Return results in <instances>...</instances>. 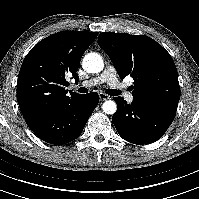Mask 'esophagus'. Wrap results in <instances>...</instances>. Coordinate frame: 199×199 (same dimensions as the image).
<instances>
[{"mask_svg":"<svg viewBox=\"0 0 199 199\" xmlns=\"http://www.w3.org/2000/svg\"><path fill=\"white\" fill-rule=\"evenodd\" d=\"M99 98L101 101H105V100L109 99V96L104 92H99Z\"/></svg>","mask_w":199,"mask_h":199,"instance_id":"obj_1","label":"esophagus"}]
</instances>
